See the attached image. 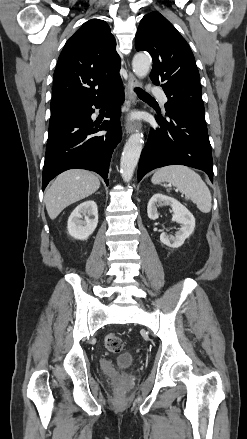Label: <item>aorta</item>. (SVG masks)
Instances as JSON below:
<instances>
[{"mask_svg": "<svg viewBox=\"0 0 247 439\" xmlns=\"http://www.w3.org/2000/svg\"><path fill=\"white\" fill-rule=\"evenodd\" d=\"M152 59L148 54L138 53L132 61V69L139 78L147 76L151 68ZM143 134L136 132L126 142L120 160V172L125 182H129L138 164L143 148Z\"/></svg>", "mask_w": 247, "mask_h": 439, "instance_id": "1", "label": "aorta"}]
</instances>
